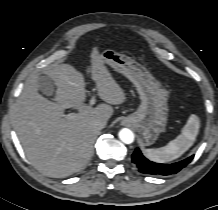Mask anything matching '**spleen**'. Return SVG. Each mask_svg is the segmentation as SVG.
Listing matches in <instances>:
<instances>
[{
	"label": "spleen",
	"mask_w": 218,
	"mask_h": 210,
	"mask_svg": "<svg viewBox=\"0 0 218 210\" xmlns=\"http://www.w3.org/2000/svg\"><path fill=\"white\" fill-rule=\"evenodd\" d=\"M200 127L199 118L192 114L181 134L166 146L157 149H145L146 156L158 163H168L184 154L194 143Z\"/></svg>",
	"instance_id": "1"
}]
</instances>
